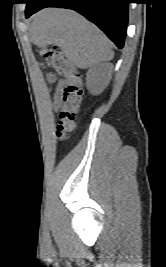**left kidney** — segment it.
I'll return each instance as SVG.
<instances>
[{"label": "left kidney", "instance_id": "left-kidney-1", "mask_svg": "<svg viewBox=\"0 0 166 267\" xmlns=\"http://www.w3.org/2000/svg\"><path fill=\"white\" fill-rule=\"evenodd\" d=\"M86 86L91 94H99L105 88L103 66H97L87 71Z\"/></svg>", "mask_w": 166, "mask_h": 267}]
</instances>
